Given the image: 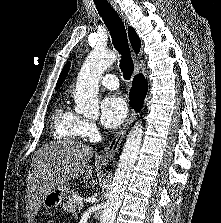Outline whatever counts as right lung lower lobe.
<instances>
[{
	"label": "right lung lower lobe",
	"mask_w": 221,
	"mask_h": 223,
	"mask_svg": "<svg viewBox=\"0 0 221 223\" xmlns=\"http://www.w3.org/2000/svg\"><path fill=\"white\" fill-rule=\"evenodd\" d=\"M147 81L142 74L135 76L132 88L130 90V105L136 111H139L142 108L144 98L147 94Z\"/></svg>",
	"instance_id": "obj_1"
}]
</instances>
